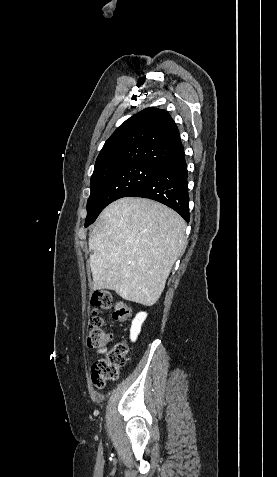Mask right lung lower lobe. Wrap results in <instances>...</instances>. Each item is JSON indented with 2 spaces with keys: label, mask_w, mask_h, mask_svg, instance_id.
<instances>
[{
  "label": "right lung lower lobe",
  "mask_w": 277,
  "mask_h": 477,
  "mask_svg": "<svg viewBox=\"0 0 277 477\" xmlns=\"http://www.w3.org/2000/svg\"><path fill=\"white\" fill-rule=\"evenodd\" d=\"M184 149L161 163L142 185L128 196L149 198L167 205L190 220Z\"/></svg>",
  "instance_id": "98d812e1"
}]
</instances>
